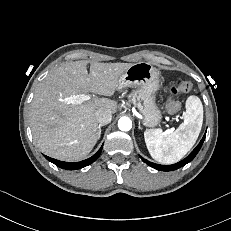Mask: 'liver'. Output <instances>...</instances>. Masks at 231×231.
Masks as SVG:
<instances>
[{
  "mask_svg": "<svg viewBox=\"0 0 231 231\" xmlns=\"http://www.w3.org/2000/svg\"><path fill=\"white\" fill-rule=\"evenodd\" d=\"M131 63H66L38 85L30 105L29 120L36 146L44 154L62 161L76 162L86 157L100 138L95 113L117 111V103L108 98H95L80 104L69 97L93 92L112 96L121 74Z\"/></svg>",
  "mask_w": 231,
  "mask_h": 231,
  "instance_id": "6515ba94",
  "label": "liver"
}]
</instances>
